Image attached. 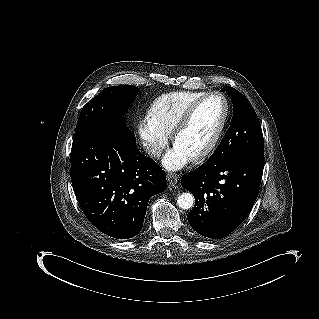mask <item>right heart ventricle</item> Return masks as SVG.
Instances as JSON below:
<instances>
[{"label":"right heart ventricle","instance_id":"right-heart-ventricle-1","mask_svg":"<svg viewBox=\"0 0 319 319\" xmlns=\"http://www.w3.org/2000/svg\"><path fill=\"white\" fill-rule=\"evenodd\" d=\"M205 95L200 91H177L160 96L152 105L147 122L164 132H170L186 110Z\"/></svg>","mask_w":319,"mask_h":319}]
</instances>
